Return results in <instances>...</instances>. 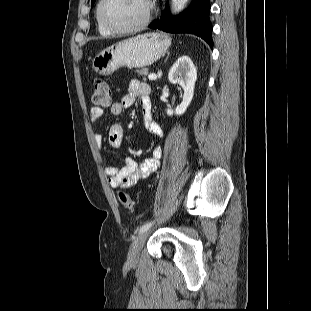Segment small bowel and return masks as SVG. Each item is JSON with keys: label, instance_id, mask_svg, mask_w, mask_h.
Masks as SVG:
<instances>
[{"label": "small bowel", "instance_id": "small-bowel-1", "mask_svg": "<svg viewBox=\"0 0 311 311\" xmlns=\"http://www.w3.org/2000/svg\"><path fill=\"white\" fill-rule=\"evenodd\" d=\"M151 88L148 84L139 80L133 79L129 82L128 91L122 96L120 101L110 105V112L113 116H120L125 109L130 108L138 98L143 111L145 128L151 134L162 138L164 131L162 127L155 123L152 119ZM101 107H91L88 113V121L94 126L103 115ZM93 138L98 147L102 145V135L94 131ZM123 140V127L120 123H113L108 131V143L112 148L120 147ZM162 157V149L156 146L153 149L152 157L145 159L141 163H137L132 157L124 158V165L120 167L110 166L106 168L108 183L110 187L117 188H132L140 180L145 179L150 174L156 172L160 166Z\"/></svg>", "mask_w": 311, "mask_h": 311}]
</instances>
